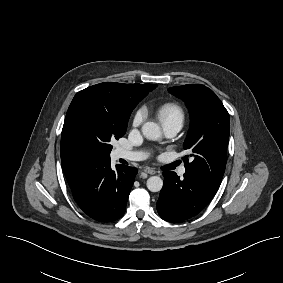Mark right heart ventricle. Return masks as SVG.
Returning a JSON list of instances; mask_svg holds the SVG:
<instances>
[{
	"instance_id": "right-heart-ventricle-1",
	"label": "right heart ventricle",
	"mask_w": 283,
	"mask_h": 283,
	"mask_svg": "<svg viewBox=\"0 0 283 283\" xmlns=\"http://www.w3.org/2000/svg\"><path fill=\"white\" fill-rule=\"evenodd\" d=\"M157 115L162 124L167 122H179L184 121V111L182 107L173 102H167L161 105L157 110Z\"/></svg>"
}]
</instances>
